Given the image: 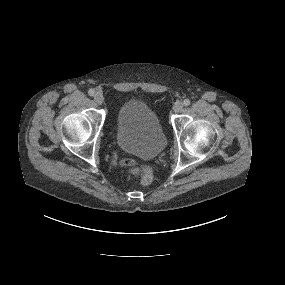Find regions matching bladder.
Instances as JSON below:
<instances>
[{
    "instance_id": "bladder-1",
    "label": "bladder",
    "mask_w": 285,
    "mask_h": 285,
    "mask_svg": "<svg viewBox=\"0 0 285 285\" xmlns=\"http://www.w3.org/2000/svg\"><path fill=\"white\" fill-rule=\"evenodd\" d=\"M117 144L143 158H154L166 146L167 138L158 115L144 101L124 103L116 117Z\"/></svg>"
}]
</instances>
